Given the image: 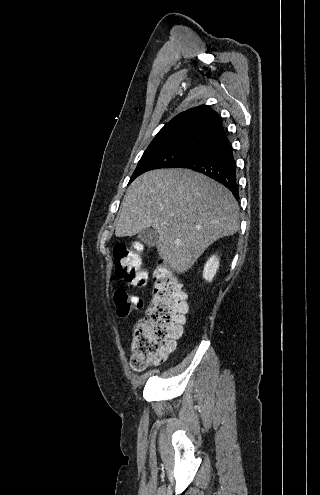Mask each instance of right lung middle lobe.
Listing matches in <instances>:
<instances>
[{"label": "right lung middle lobe", "mask_w": 320, "mask_h": 495, "mask_svg": "<svg viewBox=\"0 0 320 495\" xmlns=\"http://www.w3.org/2000/svg\"><path fill=\"white\" fill-rule=\"evenodd\" d=\"M205 142L206 140L202 139H183L148 146L128 184L149 170L179 166L187 161Z\"/></svg>", "instance_id": "dd1d6c3e"}]
</instances>
